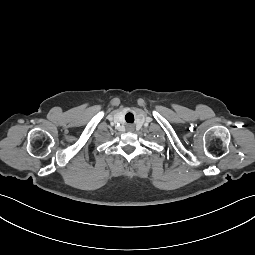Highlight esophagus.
<instances>
[{
	"instance_id": "esophagus-1",
	"label": "esophagus",
	"mask_w": 255,
	"mask_h": 255,
	"mask_svg": "<svg viewBox=\"0 0 255 255\" xmlns=\"http://www.w3.org/2000/svg\"><path fill=\"white\" fill-rule=\"evenodd\" d=\"M128 129H129V130H133V126H132V125H129V126H128Z\"/></svg>"
}]
</instances>
